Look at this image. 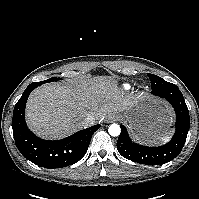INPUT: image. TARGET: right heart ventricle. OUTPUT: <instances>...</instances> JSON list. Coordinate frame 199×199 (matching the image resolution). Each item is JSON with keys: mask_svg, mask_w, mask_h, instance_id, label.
Returning a JSON list of instances; mask_svg holds the SVG:
<instances>
[{"mask_svg": "<svg viewBox=\"0 0 199 199\" xmlns=\"http://www.w3.org/2000/svg\"><path fill=\"white\" fill-rule=\"evenodd\" d=\"M129 88H130L129 85H124V86H123V89H124V90H129Z\"/></svg>", "mask_w": 199, "mask_h": 199, "instance_id": "1", "label": "right heart ventricle"}]
</instances>
